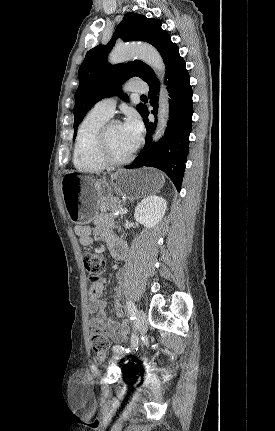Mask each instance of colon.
Returning <instances> with one entry per match:
<instances>
[{
  "mask_svg": "<svg viewBox=\"0 0 275 431\" xmlns=\"http://www.w3.org/2000/svg\"><path fill=\"white\" fill-rule=\"evenodd\" d=\"M83 264L86 269L88 278L93 282H98L105 268V258L98 251L86 252L83 256ZM90 344L94 353L101 359L106 355L109 347V341L105 333L97 327L90 330Z\"/></svg>",
  "mask_w": 275,
  "mask_h": 431,
  "instance_id": "1",
  "label": "colon"
}]
</instances>
